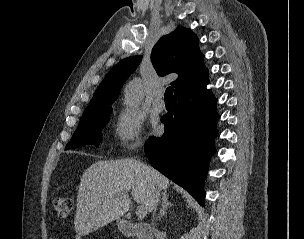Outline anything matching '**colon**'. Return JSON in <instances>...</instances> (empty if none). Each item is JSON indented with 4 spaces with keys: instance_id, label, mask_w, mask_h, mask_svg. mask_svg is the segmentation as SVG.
I'll return each mask as SVG.
<instances>
[{
    "instance_id": "colon-1",
    "label": "colon",
    "mask_w": 304,
    "mask_h": 239,
    "mask_svg": "<svg viewBox=\"0 0 304 239\" xmlns=\"http://www.w3.org/2000/svg\"><path fill=\"white\" fill-rule=\"evenodd\" d=\"M55 213L60 218L67 217L73 208L72 199L64 196H56L52 201Z\"/></svg>"
}]
</instances>
